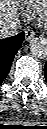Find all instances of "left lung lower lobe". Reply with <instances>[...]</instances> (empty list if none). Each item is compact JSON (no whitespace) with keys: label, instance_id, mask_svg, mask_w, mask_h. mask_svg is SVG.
Segmentation results:
<instances>
[{"label":"left lung lower lobe","instance_id":"left-lung-lower-lobe-1","mask_svg":"<svg viewBox=\"0 0 47 129\" xmlns=\"http://www.w3.org/2000/svg\"><path fill=\"white\" fill-rule=\"evenodd\" d=\"M44 72H45V77H46V80H47V63L45 65Z\"/></svg>","mask_w":47,"mask_h":129}]
</instances>
